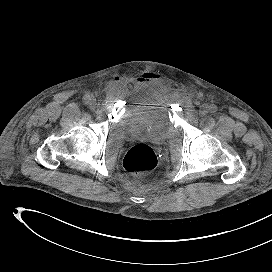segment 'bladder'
<instances>
[{
    "instance_id": "1",
    "label": "bladder",
    "mask_w": 272,
    "mask_h": 272,
    "mask_svg": "<svg viewBox=\"0 0 272 272\" xmlns=\"http://www.w3.org/2000/svg\"><path fill=\"white\" fill-rule=\"evenodd\" d=\"M122 121L128 137L146 139L158 144L166 141L171 128L166 104L149 97L131 104Z\"/></svg>"
}]
</instances>
